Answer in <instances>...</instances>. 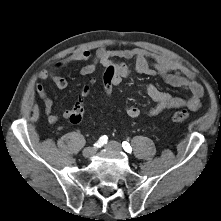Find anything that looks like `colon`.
<instances>
[{"mask_svg":"<svg viewBox=\"0 0 221 221\" xmlns=\"http://www.w3.org/2000/svg\"><path fill=\"white\" fill-rule=\"evenodd\" d=\"M119 70V65L115 61H110L107 63L106 67L103 68V71L101 73V78L99 80V85L102 88L103 97L105 101H112L113 100V85H114V74L117 73ZM89 93V88L87 86H84L79 95L78 101L75 103L72 109V113L69 116V120L72 123H79L82 120V117L84 115L85 107H84V99ZM172 120L174 122H184L188 120L189 113L186 110H180L177 112H174L172 114Z\"/></svg>","mask_w":221,"mask_h":221,"instance_id":"5ec220e1","label":"colon"}]
</instances>
